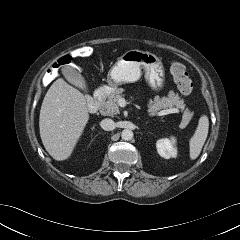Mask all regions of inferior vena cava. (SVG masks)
I'll return each instance as SVG.
<instances>
[{
	"instance_id": "602c4592",
	"label": "inferior vena cava",
	"mask_w": 240,
	"mask_h": 240,
	"mask_svg": "<svg viewBox=\"0 0 240 240\" xmlns=\"http://www.w3.org/2000/svg\"><path fill=\"white\" fill-rule=\"evenodd\" d=\"M100 125H101V128L106 131H111L116 128L115 122L110 118L103 119L101 121Z\"/></svg>"
}]
</instances>
